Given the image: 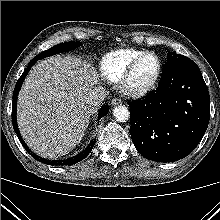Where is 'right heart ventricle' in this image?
I'll return each mask as SVG.
<instances>
[{
    "label": "right heart ventricle",
    "instance_id": "e07e8e85",
    "mask_svg": "<svg viewBox=\"0 0 220 220\" xmlns=\"http://www.w3.org/2000/svg\"><path fill=\"white\" fill-rule=\"evenodd\" d=\"M143 52L139 49L126 48L107 53L99 65L102 77L109 82H118L129 64Z\"/></svg>",
    "mask_w": 220,
    "mask_h": 220
}]
</instances>
